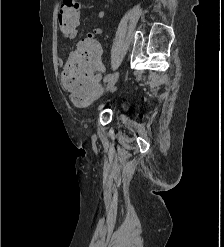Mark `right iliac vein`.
Here are the masks:
<instances>
[{"label": "right iliac vein", "mask_w": 224, "mask_h": 247, "mask_svg": "<svg viewBox=\"0 0 224 247\" xmlns=\"http://www.w3.org/2000/svg\"><path fill=\"white\" fill-rule=\"evenodd\" d=\"M119 78V73H115L111 76L110 80L107 83L106 86V91H109L110 89H112L114 87V85L116 84V82L118 81Z\"/></svg>", "instance_id": "right-iliac-vein-1"}]
</instances>
